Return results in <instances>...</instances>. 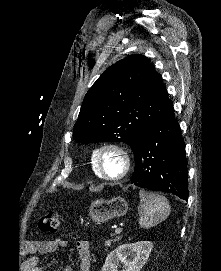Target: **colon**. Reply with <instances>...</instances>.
<instances>
[{"label":"colon","instance_id":"obj_1","mask_svg":"<svg viewBox=\"0 0 221 271\" xmlns=\"http://www.w3.org/2000/svg\"><path fill=\"white\" fill-rule=\"evenodd\" d=\"M60 215L57 212H50L42 216L39 221V228L43 232L57 233L60 228Z\"/></svg>","mask_w":221,"mask_h":271}]
</instances>
